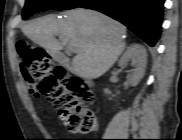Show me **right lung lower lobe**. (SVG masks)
Listing matches in <instances>:
<instances>
[{
  "label": "right lung lower lobe",
  "mask_w": 182,
  "mask_h": 140,
  "mask_svg": "<svg viewBox=\"0 0 182 140\" xmlns=\"http://www.w3.org/2000/svg\"><path fill=\"white\" fill-rule=\"evenodd\" d=\"M80 7L118 20L150 46L159 39L164 0H88Z\"/></svg>",
  "instance_id": "98d812e1"
}]
</instances>
